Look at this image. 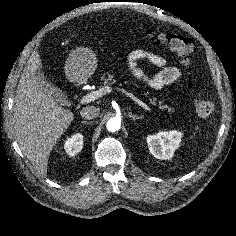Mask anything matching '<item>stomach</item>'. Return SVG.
Returning a JSON list of instances; mask_svg holds the SVG:
<instances>
[{"label": "stomach", "instance_id": "stomach-1", "mask_svg": "<svg viewBox=\"0 0 236 236\" xmlns=\"http://www.w3.org/2000/svg\"><path fill=\"white\" fill-rule=\"evenodd\" d=\"M97 68L95 53L88 48H78L67 58L65 73L70 81L80 82L89 78Z\"/></svg>", "mask_w": 236, "mask_h": 236}]
</instances>
